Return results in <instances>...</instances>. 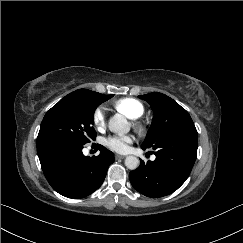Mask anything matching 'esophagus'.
Returning <instances> with one entry per match:
<instances>
[{"mask_svg":"<svg viewBox=\"0 0 243 243\" xmlns=\"http://www.w3.org/2000/svg\"><path fill=\"white\" fill-rule=\"evenodd\" d=\"M115 158L116 159H124L125 156L124 155L115 154Z\"/></svg>","mask_w":243,"mask_h":243,"instance_id":"esophagus-1","label":"esophagus"}]
</instances>
